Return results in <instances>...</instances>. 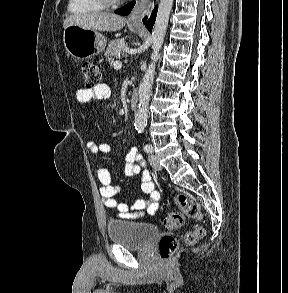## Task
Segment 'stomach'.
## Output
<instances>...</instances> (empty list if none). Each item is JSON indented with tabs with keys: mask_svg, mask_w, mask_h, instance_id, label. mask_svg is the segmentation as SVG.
Masks as SVG:
<instances>
[{
	"mask_svg": "<svg viewBox=\"0 0 288 293\" xmlns=\"http://www.w3.org/2000/svg\"><path fill=\"white\" fill-rule=\"evenodd\" d=\"M63 42L67 53L77 59L98 55L106 47V39L101 33L74 24L64 29Z\"/></svg>",
	"mask_w": 288,
	"mask_h": 293,
	"instance_id": "1",
	"label": "stomach"
}]
</instances>
